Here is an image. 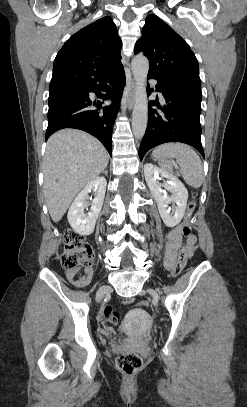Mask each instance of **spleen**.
<instances>
[{
	"mask_svg": "<svg viewBox=\"0 0 247 407\" xmlns=\"http://www.w3.org/2000/svg\"><path fill=\"white\" fill-rule=\"evenodd\" d=\"M153 155L166 171L173 170L172 161L166 157H174L180 166L179 173L184 181L193 188L201 187L204 180L203 165L198 154L190 146L183 143H166L156 147Z\"/></svg>",
	"mask_w": 247,
	"mask_h": 407,
	"instance_id": "obj_1",
	"label": "spleen"
}]
</instances>
